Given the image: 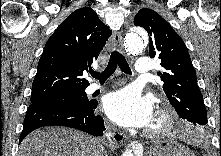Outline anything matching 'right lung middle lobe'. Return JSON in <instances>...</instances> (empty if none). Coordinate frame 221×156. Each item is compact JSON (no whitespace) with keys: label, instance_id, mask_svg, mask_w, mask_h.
Masks as SVG:
<instances>
[{"label":"right lung middle lobe","instance_id":"1","mask_svg":"<svg viewBox=\"0 0 221 156\" xmlns=\"http://www.w3.org/2000/svg\"><path fill=\"white\" fill-rule=\"evenodd\" d=\"M93 100H88L85 90L56 94L41 99L31 100L32 104L87 107Z\"/></svg>","mask_w":221,"mask_h":156}]
</instances>
